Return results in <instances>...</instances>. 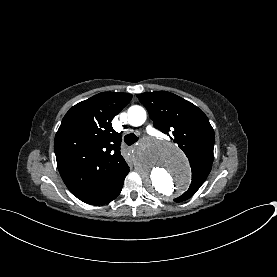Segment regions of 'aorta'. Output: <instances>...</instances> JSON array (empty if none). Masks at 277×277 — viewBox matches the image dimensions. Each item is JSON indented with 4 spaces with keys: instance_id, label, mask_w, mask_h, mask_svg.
<instances>
[{
    "instance_id": "obj_1",
    "label": "aorta",
    "mask_w": 277,
    "mask_h": 277,
    "mask_svg": "<svg viewBox=\"0 0 277 277\" xmlns=\"http://www.w3.org/2000/svg\"><path fill=\"white\" fill-rule=\"evenodd\" d=\"M127 115L132 126H141L146 120V111L138 105L131 106ZM134 164L147 190L159 199H168L189 186L186 157L171 142L156 138L142 140L134 152Z\"/></svg>"
}]
</instances>
